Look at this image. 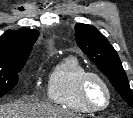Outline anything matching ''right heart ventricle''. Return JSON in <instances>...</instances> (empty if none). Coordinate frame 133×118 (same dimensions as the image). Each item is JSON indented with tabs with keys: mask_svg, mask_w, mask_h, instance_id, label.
Returning a JSON list of instances; mask_svg holds the SVG:
<instances>
[{
	"mask_svg": "<svg viewBox=\"0 0 133 118\" xmlns=\"http://www.w3.org/2000/svg\"><path fill=\"white\" fill-rule=\"evenodd\" d=\"M86 72L87 69L76 57L60 60L48 76L49 101L76 113H91L80 96V80Z\"/></svg>",
	"mask_w": 133,
	"mask_h": 118,
	"instance_id": "1",
	"label": "right heart ventricle"
}]
</instances>
